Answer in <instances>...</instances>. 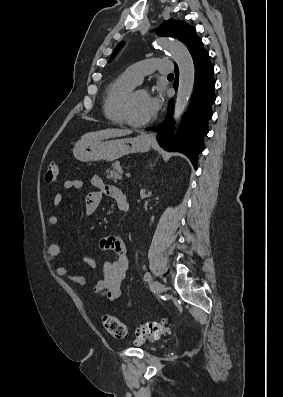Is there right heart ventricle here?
Here are the masks:
<instances>
[{"mask_svg": "<svg viewBox=\"0 0 283 397\" xmlns=\"http://www.w3.org/2000/svg\"><path fill=\"white\" fill-rule=\"evenodd\" d=\"M135 86L136 83L125 74L118 76L109 83L103 97V112L108 121L117 125L125 123L122 115L123 103Z\"/></svg>", "mask_w": 283, "mask_h": 397, "instance_id": "e07e8e85", "label": "right heart ventricle"}]
</instances>
